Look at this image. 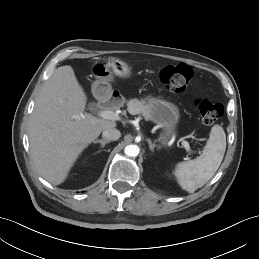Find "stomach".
<instances>
[{"label":"stomach","mask_w":259,"mask_h":259,"mask_svg":"<svg viewBox=\"0 0 259 259\" xmlns=\"http://www.w3.org/2000/svg\"><path fill=\"white\" fill-rule=\"evenodd\" d=\"M93 74L96 78L93 90L107 95L111 92L110 82L114 76L127 78L131 70L124 61L112 58L96 62L93 66ZM144 104L147 106L146 118L161 126L162 133L159 140L162 144H167L172 137L177 135V126L180 121L179 108L169 101L152 96H148Z\"/></svg>","instance_id":"obj_1"}]
</instances>
